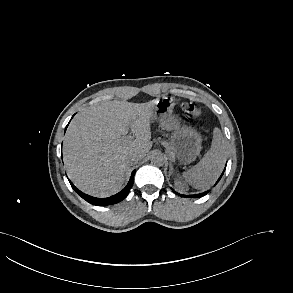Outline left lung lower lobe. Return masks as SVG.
<instances>
[{
	"instance_id": "1",
	"label": "left lung lower lobe",
	"mask_w": 293,
	"mask_h": 293,
	"mask_svg": "<svg viewBox=\"0 0 293 293\" xmlns=\"http://www.w3.org/2000/svg\"><path fill=\"white\" fill-rule=\"evenodd\" d=\"M223 173H224V172H223ZM223 173H222V175H223ZM222 175L219 177V179L217 180L216 184L219 182V180L221 179ZM207 193H208V191H207V192H204V193H201V194L188 195L187 197H193V198H194V197H202V196L206 195ZM182 196L185 197V195H182Z\"/></svg>"
}]
</instances>
